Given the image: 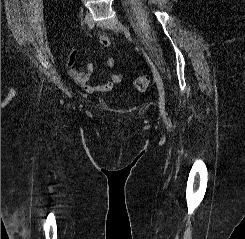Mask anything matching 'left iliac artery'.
<instances>
[{"instance_id":"1","label":"left iliac artery","mask_w":245,"mask_h":239,"mask_svg":"<svg viewBox=\"0 0 245 239\" xmlns=\"http://www.w3.org/2000/svg\"><path fill=\"white\" fill-rule=\"evenodd\" d=\"M142 51L144 52L143 48H141ZM144 55L146 56L147 60L153 65V63L151 62V60L149 59V57L147 56V54L144 52Z\"/></svg>"}]
</instances>
